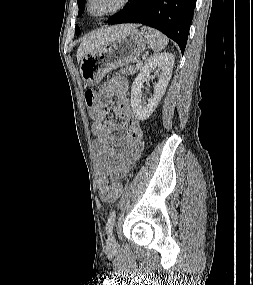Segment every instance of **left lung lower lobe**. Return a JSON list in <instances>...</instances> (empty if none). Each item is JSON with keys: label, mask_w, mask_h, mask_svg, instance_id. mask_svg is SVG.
<instances>
[{"label": "left lung lower lobe", "mask_w": 253, "mask_h": 285, "mask_svg": "<svg viewBox=\"0 0 253 285\" xmlns=\"http://www.w3.org/2000/svg\"><path fill=\"white\" fill-rule=\"evenodd\" d=\"M196 0H130L105 23H141L163 32L184 53Z\"/></svg>", "instance_id": "1"}]
</instances>
